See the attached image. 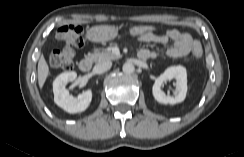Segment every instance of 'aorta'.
Wrapping results in <instances>:
<instances>
[{"instance_id":"1","label":"aorta","mask_w":244,"mask_h":157,"mask_svg":"<svg viewBox=\"0 0 244 157\" xmlns=\"http://www.w3.org/2000/svg\"><path fill=\"white\" fill-rule=\"evenodd\" d=\"M122 69H123V72L125 74H132L135 71L134 65L132 63H129V62L125 63L123 65V68Z\"/></svg>"}]
</instances>
